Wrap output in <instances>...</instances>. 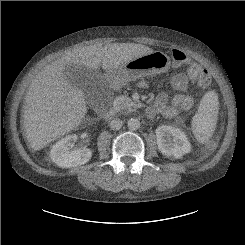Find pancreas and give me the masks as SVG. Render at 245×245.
Returning <instances> with one entry per match:
<instances>
[{
  "mask_svg": "<svg viewBox=\"0 0 245 245\" xmlns=\"http://www.w3.org/2000/svg\"><path fill=\"white\" fill-rule=\"evenodd\" d=\"M116 111L133 112L138 108V104L133 102L127 95L118 96L114 101Z\"/></svg>",
  "mask_w": 245,
  "mask_h": 245,
  "instance_id": "cf45deb5",
  "label": "pancreas"
}]
</instances>
